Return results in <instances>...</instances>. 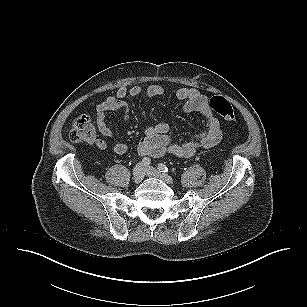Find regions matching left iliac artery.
<instances>
[{
	"label": "left iliac artery",
	"instance_id": "44dca946",
	"mask_svg": "<svg viewBox=\"0 0 307 307\" xmlns=\"http://www.w3.org/2000/svg\"><path fill=\"white\" fill-rule=\"evenodd\" d=\"M158 169L160 170V172H163V173L169 171L168 167L165 164H163V163L158 164Z\"/></svg>",
	"mask_w": 307,
	"mask_h": 307
}]
</instances>
